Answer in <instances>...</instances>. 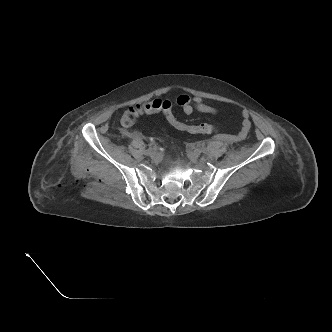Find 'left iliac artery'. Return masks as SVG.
<instances>
[{"mask_svg":"<svg viewBox=\"0 0 332 332\" xmlns=\"http://www.w3.org/2000/svg\"><path fill=\"white\" fill-rule=\"evenodd\" d=\"M195 152H196L198 155H200V154H202V153H205L206 151H205V149H204L203 147H198V148L195 150Z\"/></svg>","mask_w":332,"mask_h":332,"instance_id":"obj_1","label":"left iliac artery"}]
</instances>
